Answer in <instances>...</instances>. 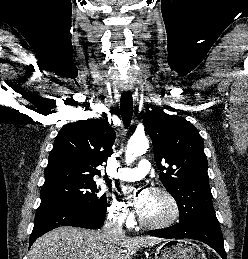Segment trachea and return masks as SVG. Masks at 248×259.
I'll use <instances>...</instances> for the list:
<instances>
[{
	"instance_id": "1",
	"label": "trachea",
	"mask_w": 248,
	"mask_h": 259,
	"mask_svg": "<svg viewBox=\"0 0 248 259\" xmlns=\"http://www.w3.org/2000/svg\"><path fill=\"white\" fill-rule=\"evenodd\" d=\"M121 116L125 127H129L133 115L132 95L129 92H124L121 95Z\"/></svg>"
}]
</instances>
